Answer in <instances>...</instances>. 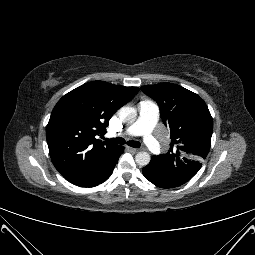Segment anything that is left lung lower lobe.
<instances>
[{
  "label": "left lung lower lobe",
  "mask_w": 255,
  "mask_h": 255,
  "mask_svg": "<svg viewBox=\"0 0 255 255\" xmlns=\"http://www.w3.org/2000/svg\"><path fill=\"white\" fill-rule=\"evenodd\" d=\"M142 172L148 181L161 188H174L187 182L186 180L173 177L151 164L144 167Z\"/></svg>",
  "instance_id": "1"
}]
</instances>
